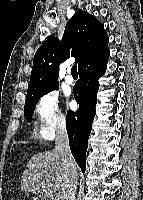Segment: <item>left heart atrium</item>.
Here are the masks:
<instances>
[{"instance_id":"1","label":"left heart atrium","mask_w":143,"mask_h":200,"mask_svg":"<svg viewBox=\"0 0 143 200\" xmlns=\"http://www.w3.org/2000/svg\"><path fill=\"white\" fill-rule=\"evenodd\" d=\"M68 105L71 107L73 105V102L72 101L68 102Z\"/></svg>"}]
</instances>
